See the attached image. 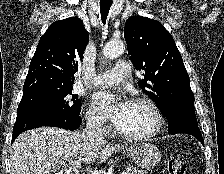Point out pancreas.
<instances>
[{"label": "pancreas", "mask_w": 224, "mask_h": 174, "mask_svg": "<svg viewBox=\"0 0 224 174\" xmlns=\"http://www.w3.org/2000/svg\"><path fill=\"white\" fill-rule=\"evenodd\" d=\"M127 170L130 171V174H148L147 172L136 169L135 167H132V166H128Z\"/></svg>", "instance_id": "1"}]
</instances>
